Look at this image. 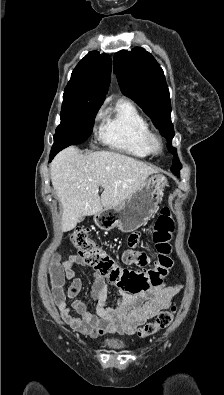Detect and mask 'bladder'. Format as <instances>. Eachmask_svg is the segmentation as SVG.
<instances>
[{
	"mask_svg": "<svg viewBox=\"0 0 224 395\" xmlns=\"http://www.w3.org/2000/svg\"><path fill=\"white\" fill-rule=\"evenodd\" d=\"M102 346L113 351H120L126 348V342L119 337H110L102 342Z\"/></svg>",
	"mask_w": 224,
	"mask_h": 395,
	"instance_id": "obj_1",
	"label": "bladder"
}]
</instances>
